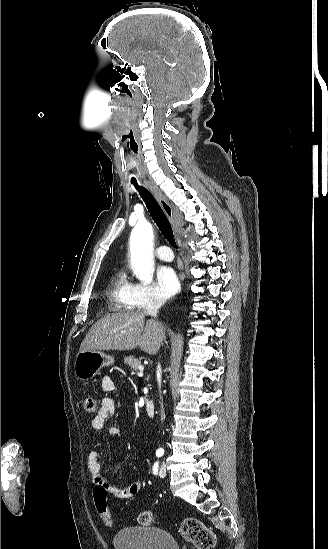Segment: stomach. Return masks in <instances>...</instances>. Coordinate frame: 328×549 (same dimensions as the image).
<instances>
[{
  "mask_svg": "<svg viewBox=\"0 0 328 549\" xmlns=\"http://www.w3.org/2000/svg\"><path fill=\"white\" fill-rule=\"evenodd\" d=\"M111 365H114V359L110 355L81 351L76 355L74 373L80 381H90L103 367H111Z\"/></svg>",
  "mask_w": 328,
  "mask_h": 549,
  "instance_id": "1",
  "label": "stomach"
}]
</instances>
